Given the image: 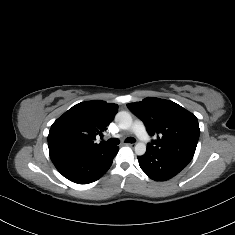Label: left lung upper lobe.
Returning a JSON list of instances; mask_svg holds the SVG:
<instances>
[{
    "mask_svg": "<svg viewBox=\"0 0 235 235\" xmlns=\"http://www.w3.org/2000/svg\"><path fill=\"white\" fill-rule=\"evenodd\" d=\"M127 107L144 122L149 135L156 137L147 149L192 160L200 135L195 115L172 101L154 97Z\"/></svg>",
    "mask_w": 235,
    "mask_h": 235,
    "instance_id": "1",
    "label": "left lung upper lobe"
}]
</instances>
